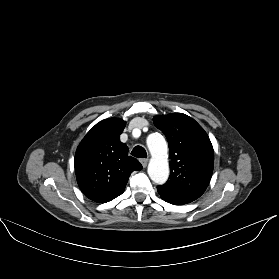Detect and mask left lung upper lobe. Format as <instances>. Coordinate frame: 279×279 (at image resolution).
<instances>
[{
  "mask_svg": "<svg viewBox=\"0 0 279 279\" xmlns=\"http://www.w3.org/2000/svg\"><path fill=\"white\" fill-rule=\"evenodd\" d=\"M169 143L170 176L157 186L160 196L180 204L190 203L206 190L214 167V151L203 128L182 113L153 119Z\"/></svg>",
  "mask_w": 279,
  "mask_h": 279,
  "instance_id": "5c2ea615",
  "label": "left lung upper lobe"
}]
</instances>
